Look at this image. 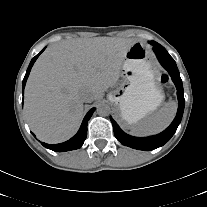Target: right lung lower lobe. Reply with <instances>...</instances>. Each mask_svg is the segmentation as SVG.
Returning a JSON list of instances; mask_svg holds the SVG:
<instances>
[{"label": "right lung lower lobe", "instance_id": "right-lung-lower-lobe-1", "mask_svg": "<svg viewBox=\"0 0 207 207\" xmlns=\"http://www.w3.org/2000/svg\"><path fill=\"white\" fill-rule=\"evenodd\" d=\"M43 50L38 55H36L31 60V62L29 64V67H28V69L26 71V74H25V77L23 79V91H24V87H25V84H26V80H27V78L29 76L30 70H31L34 62L38 58V56L43 52ZM94 111H95V108H92V109L89 110V112L86 114V116H85V118H84V120H83V122L81 124V127H80L79 131L70 140H68L66 142H63V143H60V144H54V145L46 144V143L42 142V145L44 147L50 149V150L57 151V152H64V151H69V150H74V149L80 148L83 145V143H84V141L86 139L88 120L90 119V117L92 116Z\"/></svg>", "mask_w": 207, "mask_h": 207}]
</instances>
